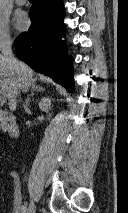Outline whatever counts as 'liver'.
<instances>
[{
	"label": "liver",
	"instance_id": "1",
	"mask_svg": "<svg viewBox=\"0 0 128 213\" xmlns=\"http://www.w3.org/2000/svg\"><path fill=\"white\" fill-rule=\"evenodd\" d=\"M17 67L12 66L3 55H0V94L9 101V109L17 108L15 95L16 85L26 92L34 83L33 70L25 63L17 60Z\"/></svg>",
	"mask_w": 128,
	"mask_h": 213
}]
</instances>
